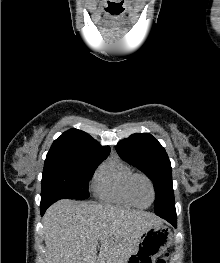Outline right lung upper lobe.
Here are the masks:
<instances>
[{"label": "right lung upper lobe", "mask_w": 220, "mask_h": 263, "mask_svg": "<svg viewBox=\"0 0 220 263\" xmlns=\"http://www.w3.org/2000/svg\"><path fill=\"white\" fill-rule=\"evenodd\" d=\"M49 151H78L108 155L110 148L100 146L90 135L81 130L70 129L53 142Z\"/></svg>", "instance_id": "obj_1"}]
</instances>
